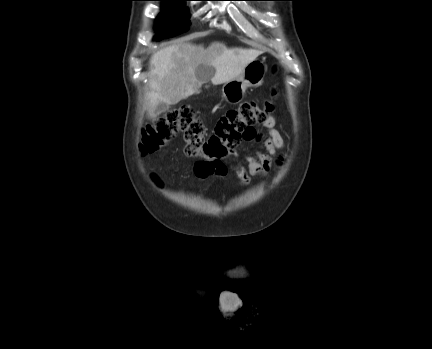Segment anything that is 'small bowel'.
<instances>
[{
  "label": "small bowel",
  "instance_id": "1",
  "mask_svg": "<svg viewBox=\"0 0 432 349\" xmlns=\"http://www.w3.org/2000/svg\"><path fill=\"white\" fill-rule=\"evenodd\" d=\"M262 126L265 134L253 130V135L247 141H256L262 144V149L257 150L253 155L245 159V163L236 164L233 170L241 184H248L252 176H264L272 167L273 157L283 148L284 140L280 132L276 129V119L273 116L267 117ZM227 167L224 165L222 170L210 169L201 162L194 164V174L201 180L210 177H222L226 175Z\"/></svg>",
  "mask_w": 432,
  "mask_h": 349
}]
</instances>
